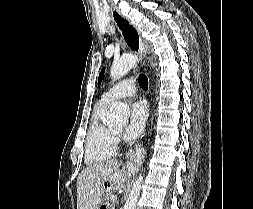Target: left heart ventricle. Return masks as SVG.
Returning <instances> with one entry per match:
<instances>
[{"instance_id": "left-heart-ventricle-1", "label": "left heart ventricle", "mask_w": 253, "mask_h": 209, "mask_svg": "<svg viewBox=\"0 0 253 209\" xmlns=\"http://www.w3.org/2000/svg\"><path fill=\"white\" fill-rule=\"evenodd\" d=\"M115 131L120 133L122 131V128H116Z\"/></svg>"}]
</instances>
